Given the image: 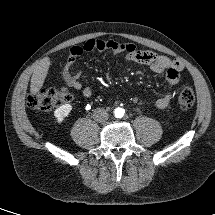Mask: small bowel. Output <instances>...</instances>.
<instances>
[{
  "instance_id": "small-bowel-1",
  "label": "small bowel",
  "mask_w": 215,
  "mask_h": 215,
  "mask_svg": "<svg viewBox=\"0 0 215 215\" xmlns=\"http://www.w3.org/2000/svg\"><path fill=\"white\" fill-rule=\"evenodd\" d=\"M111 50L114 53H125L126 59L132 62L148 66L153 72L165 75V84L168 89L177 85L183 64L177 59H171L164 55H158L152 51L140 50L134 44L113 40H88L81 46L71 48L63 69L64 80L76 90L81 91L86 98L92 96L93 91L89 87H83L79 81V74L73 72L72 67L78 58L92 52ZM172 94L167 92L154 102L157 109H165L172 101Z\"/></svg>"
}]
</instances>
